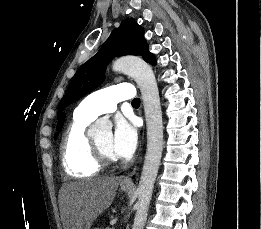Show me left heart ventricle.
Here are the masks:
<instances>
[{
    "instance_id": "1",
    "label": "left heart ventricle",
    "mask_w": 261,
    "mask_h": 229,
    "mask_svg": "<svg viewBox=\"0 0 261 229\" xmlns=\"http://www.w3.org/2000/svg\"><path fill=\"white\" fill-rule=\"evenodd\" d=\"M111 140H112V135H111V133H108V134L101 136L97 140V143L102 147V149L107 154H109L110 156H113L111 153Z\"/></svg>"
}]
</instances>
